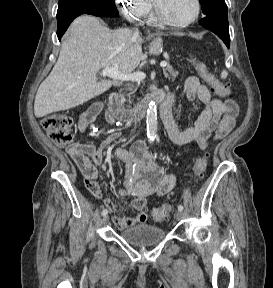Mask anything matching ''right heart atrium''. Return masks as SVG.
Returning a JSON list of instances; mask_svg holds the SVG:
<instances>
[{"label":"right heart atrium","mask_w":273,"mask_h":288,"mask_svg":"<svg viewBox=\"0 0 273 288\" xmlns=\"http://www.w3.org/2000/svg\"><path fill=\"white\" fill-rule=\"evenodd\" d=\"M121 14L133 23L141 22L150 12L147 0H115Z\"/></svg>","instance_id":"obj_1"}]
</instances>
